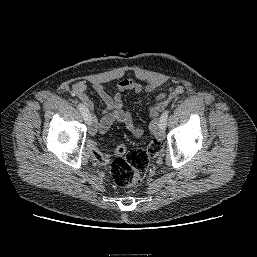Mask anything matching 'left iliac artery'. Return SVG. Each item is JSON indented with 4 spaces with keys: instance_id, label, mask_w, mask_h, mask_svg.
<instances>
[{
    "instance_id": "44dca946",
    "label": "left iliac artery",
    "mask_w": 257,
    "mask_h": 257,
    "mask_svg": "<svg viewBox=\"0 0 257 257\" xmlns=\"http://www.w3.org/2000/svg\"><path fill=\"white\" fill-rule=\"evenodd\" d=\"M169 110L163 112L160 117L159 126L165 128L167 125V118H168Z\"/></svg>"
}]
</instances>
